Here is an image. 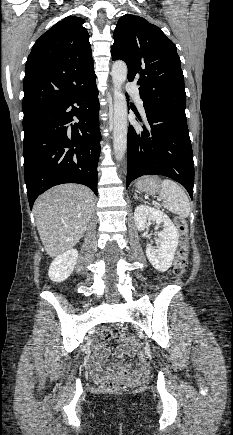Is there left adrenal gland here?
<instances>
[{"label":"left adrenal gland","mask_w":233,"mask_h":435,"mask_svg":"<svg viewBox=\"0 0 233 435\" xmlns=\"http://www.w3.org/2000/svg\"><path fill=\"white\" fill-rule=\"evenodd\" d=\"M134 198H135V199H138V196H137V193H136V192L134 193Z\"/></svg>","instance_id":"left-adrenal-gland-1"}]
</instances>
